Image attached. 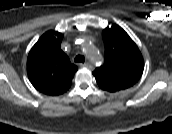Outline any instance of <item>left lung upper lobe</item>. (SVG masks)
Masks as SVG:
<instances>
[{
	"label": "left lung upper lobe",
	"mask_w": 172,
	"mask_h": 134,
	"mask_svg": "<svg viewBox=\"0 0 172 134\" xmlns=\"http://www.w3.org/2000/svg\"><path fill=\"white\" fill-rule=\"evenodd\" d=\"M104 64L93 75L100 88L116 92L133 86L141 77L144 61L140 50L119 26L103 30Z\"/></svg>",
	"instance_id": "left-lung-upper-lobe-1"
}]
</instances>
